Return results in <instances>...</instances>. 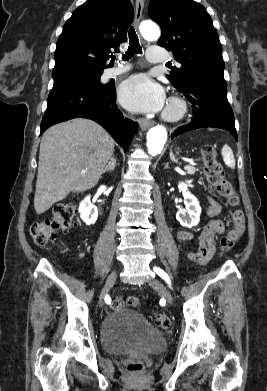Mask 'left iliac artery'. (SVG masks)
<instances>
[{"label": "left iliac artery", "mask_w": 267, "mask_h": 391, "mask_svg": "<svg viewBox=\"0 0 267 391\" xmlns=\"http://www.w3.org/2000/svg\"><path fill=\"white\" fill-rule=\"evenodd\" d=\"M154 270H155V272H156L161 278H163L167 283H170V279H169L168 275H167L162 269L155 267Z\"/></svg>", "instance_id": "left-iliac-artery-1"}]
</instances>
